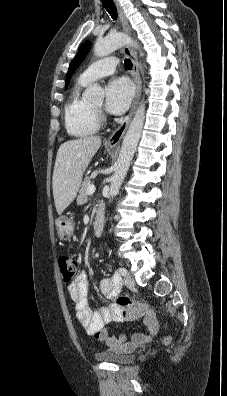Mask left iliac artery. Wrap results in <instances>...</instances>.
I'll use <instances>...</instances> for the list:
<instances>
[{
  "mask_svg": "<svg viewBox=\"0 0 227 396\" xmlns=\"http://www.w3.org/2000/svg\"><path fill=\"white\" fill-rule=\"evenodd\" d=\"M118 272H119L122 276H125L126 273H127V270H126L125 268H119V269H118Z\"/></svg>",
  "mask_w": 227,
  "mask_h": 396,
  "instance_id": "44dca946",
  "label": "left iliac artery"
}]
</instances>
